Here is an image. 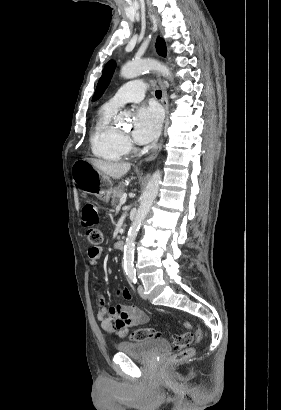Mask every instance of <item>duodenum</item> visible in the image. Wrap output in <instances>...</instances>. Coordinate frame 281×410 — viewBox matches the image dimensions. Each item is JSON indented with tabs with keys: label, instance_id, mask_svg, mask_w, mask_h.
<instances>
[{
	"label": "duodenum",
	"instance_id": "410a0bca",
	"mask_svg": "<svg viewBox=\"0 0 281 410\" xmlns=\"http://www.w3.org/2000/svg\"><path fill=\"white\" fill-rule=\"evenodd\" d=\"M124 245H125L124 240L119 239L115 243V248L118 250H122L124 248Z\"/></svg>",
	"mask_w": 281,
	"mask_h": 410
}]
</instances>
